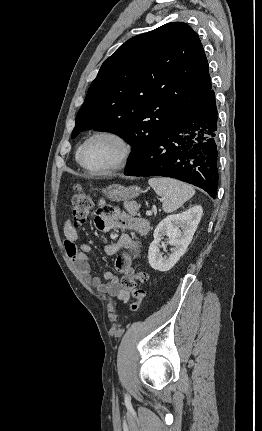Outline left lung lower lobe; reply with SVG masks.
<instances>
[{
    "instance_id": "obj_1",
    "label": "left lung lower lobe",
    "mask_w": 262,
    "mask_h": 431,
    "mask_svg": "<svg viewBox=\"0 0 262 431\" xmlns=\"http://www.w3.org/2000/svg\"><path fill=\"white\" fill-rule=\"evenodd\" d=\"M217 115L215 93L211 89L124 174L171 177L215 196L218 188Z\"/></svg>"
}]
</instances>
